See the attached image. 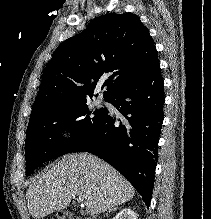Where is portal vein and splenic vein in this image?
<instances>
[{
  "mask_svg": "<svg viewBox=\"0 0 211 219\" xmlns=\"http://www.w3.org/2000/svg\"><path fill=\"white\" fill-rule=\"evenodd\" d=\"M75 198V197H74ZM75 200H77V202H81L82 199L81 198H75Z\"/></svg>",
  "mask_w": 211,
  "mask_h": 219,
  "instance_id": "obj_1",
  "label": "portal vein and splenic vein"
}]
</instances>
